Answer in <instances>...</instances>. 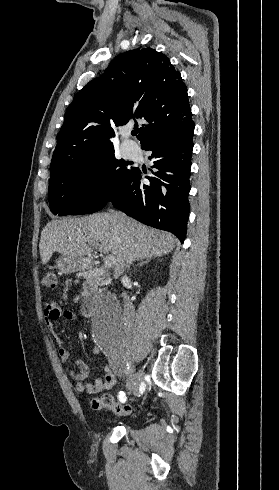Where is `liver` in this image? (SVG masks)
I'll use <instances>...</instances> for the list:
<instances>
[{"label": "liver", "mask_w": 279, "mask_h": 490, "mask_svg": "<svg viewBox=\"0 0 279 490\" xmlns=\"http://www.w3.org/2000/svg\"><path fill=\"white\" fill-rule=\"evenodd\" d=\"M97 242H101L103 252H111L116 262L115 276H120L131 252L136 254L137 260L165 256L173 252L177 238L169 232L148 228L127 216L121 228L119 216L109 212L86 218L53 220L41 232V264H47L54 252L74 260H84V256L93 252L90 246Z\"/></svg>", "instance_id": "6515ba94"}]
</instances>
